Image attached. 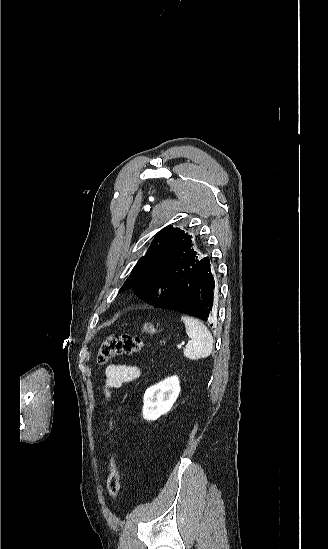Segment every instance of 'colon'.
Segmentation results:
<instances>
[{
	"instance_id": "obj_1",
	"label": "colon",
	"mask_w": 328,
	"mask_h": 549,
	"mask_svg": "<svg viewBox=\"0 0 328 549\" xmlns=\"http://www.w3.org/2000/svg\"><path fill=\"white\" fill-rule=\"evenodd\" d=\"M145 346L142 338L129 334H114L106 338L101 344L97 353V363L99 365L106 364L115 356L130 355L141 351ZM116 423L111 421L110 428L113 432ZM109 475L107 479V489L110 497L116 499L120 491V475L115 460V455L111 451L108 456Z\"/></svg>"
}]
</instances>
